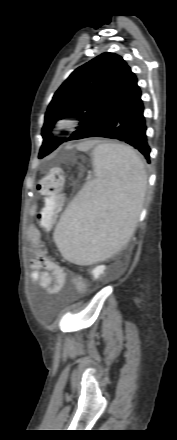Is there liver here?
Returning a JSON list of instances; mask_svg holds the SVG:
<instances>
[{
    "mask_svg": "<svg viewBox=\"0 0 177 440\" xmlns=\"http://www.w3.org/2000/svg\"><path fill=\"white\" fill-rule=\"evenodd\" d=\"M91 143H82L80 145H78V149L80 150H85L88 149L90 147Z\"/></svg>",
    "mask_w": 177,
    "mask_h": 440,
    "instance_id": "obj_1",
    "label": "liver"
}]
</instances>
